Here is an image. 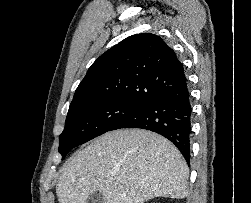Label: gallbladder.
<instances>
[{"label":"gallbladder","mask_w":251,"mask_h":203,"mask_svg":"<svg viewBox=\"0 0 251 203\" xmlns=\"http://www.w3.org/2000/svg\"><path fill=\"white\" fill-rule=\"evenodd\" d=\"M86 203H104L103 195L100 192H93L88 196Z\"/></svg>","instance_id":"gallbladder-1"}]
</instances>
